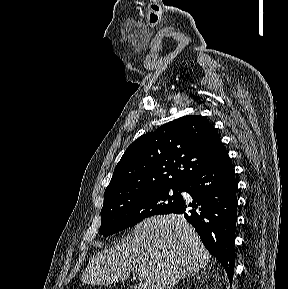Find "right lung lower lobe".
<instances>
[{"label":"right lung lower lobe","instance_id":"right-lung-lower-lobe-1","mask_svg":"<svg viewBox=\"0 0 288 289\" xmlns=\"http://www.w3.org/2000/svg\"><path fill=\"white\" fill-rule=\"evenodd\" d=\"M237 189L235 171L225 152L181 187V191L191 195L192 201L182 198L169 212L182 214L192 224L204 246L225 268L230 283L236 257Z\"/></svg>","mask_w":288,"mask_h":289}]
</instances>
